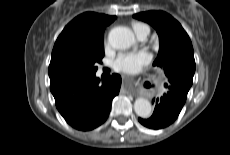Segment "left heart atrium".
I'll use <instances>...</instances> for the list:
<instances>
[{
  "label": "left heart atrium",
  "instance_id": "39dd6f15",
  "mask_svg": "<svg viewBox=\"0 0 230 155\" xmlns=\"http://www.w3.org/2000/svg\"><path fill=\"white\" fill-rule=\"evenodd\" d=\"M151 61V54L145 50L122 52L113 61L118 72L136 73Z\"/></svg>",
  "mask_w": 230,
  "mask_h": 155
}]
</instances>
